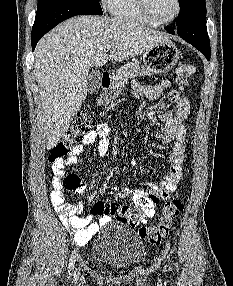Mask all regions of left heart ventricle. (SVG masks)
<instances>
[{"mask_svg":"<svg viewBox=\"0 0 233 286\" xmlns=\"http://www.w3.org/2000/svg\"><path fill=\"white\" fill-rule=\"evenodd\" d=\"M151 17L156 21L170 19L176 11L175 0H147Z\"/></svg>","mask_w":233,"mask_h":286,"instance_id":"obj_1","label":"left heart ventricle"}]
</instances>
